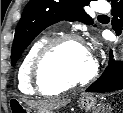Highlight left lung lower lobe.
Instances as JSON below:
<instances>
[{
	"label": "left lung lower lobe",
	"instance_id": "0a47b994",
	"mask_svg": "<svg viewBox=\"0 0 123 113\" xmlns=\"http://www.w3.org/2000/svg\"><path fill=\"white\" fill-rule=\"evenodd\" d=\"M112 28L117 35L123 31V0H112ZM123 89V62L115 61L112 50L110 60L103 74L92 84L87 92H111Z\"/></svg>",
	"mask_w": 123,
	"mask_h": 113
}]
</instances>
